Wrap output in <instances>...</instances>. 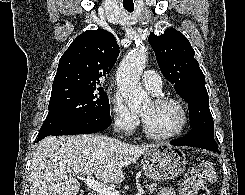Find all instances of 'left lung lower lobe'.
Masks as SVG:
<instances>
[{
    "label": "left lung lower lobe",
    "mask_w": 245,
    "mask_h": 195,
    "mask_svg": "<svg viewBox=\"0 0 245 195\" xmlns=\"http://www.w3.org/2000/svg\"><path fill=\"white\" fill-rule=\"evenodd\" d=\"M170 144L176 146L186 145L191 147H199L220 154L218 145L214 139V135L203 129L191 130L187 135L171 141Z\"/></svg>",
    "instance_id": "obj_1"
}]
</instances>
